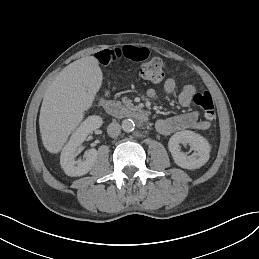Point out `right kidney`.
<instances>
[{
	"label": "right kidney",
	"instance_id": "1",
	"mask_svg": "<svg viewBox=\"0 0 259 259\" xmlns=\"http://www.w3.org/2000/svg\"><path fill=\"white\" fill-rule=\"evenodd\" d=\"M103 124V120L100 116H89L85 119L76 131L70 137L69 142L62 150L60 163L64 172L68 176H82L87 174L94 166L97 160V150L92 148L85 152V159L75 161V153L77 147H79L88 134L92 131L100 128Z\"/></svg>",
	"mask_w": 259,
	"mask_h": 259
}]
</instances>
